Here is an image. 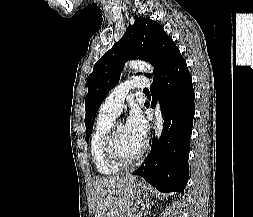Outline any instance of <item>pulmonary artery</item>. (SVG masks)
I'll return each mask as SVG.
<instances>
[{"label": "pulmonary artery", "instance_id": "pulmonary-artery-1", "mask_svg": "<svg viewBox=\"0 0 253 217\" xmlns=\"http://www.w3.org/2000/svg\"><path fill=\"white\" fill-rule=\"evenodd\" d=\"M150 82L143 76H136L116 86L105 98L101 110L114 115H118L124 104V100L130 90L147 89Z\"/></svg>", "mask_w": 253, "mask_h": 217}]
</instances>
